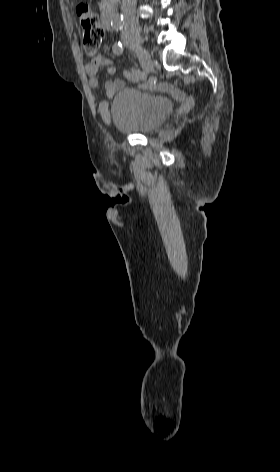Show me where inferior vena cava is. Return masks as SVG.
<instances>
[{
  "instance_id": "obj_1",
  "label": "inferior vena cava",
  "mask_w": 280,
  "mask_h": 472,
  "mask_svg": "<svg viewBox=\"0 0 280 472\" xmlns=\"http://www.w3.org/2000/svg\"><path fill=\"white\" fill-rule=\"evenodd\" d=\"M121 10L124 15V30L134 33L136 28V0H122Z\"/></svg>"
}]
</instances>
